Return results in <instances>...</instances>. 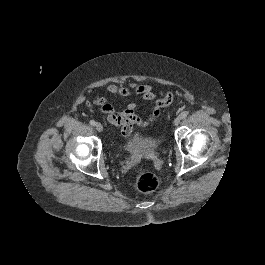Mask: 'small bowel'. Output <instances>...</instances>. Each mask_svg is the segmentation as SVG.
<instances>
[{
	"instance_id": "1",
	"label": "small bowel",
	"mask_w": 265,
	"mask_h": 265,
	"mask_svg": "<svg viewBox=\"0 0 265 265\" xmlns=\"http://www.w3.org/2000/svg\"><path fill=\"white\" fill-rule=\"evenodd\" d=\"M106 90L110 94L119 97L138 95L142 99L153 103V111L151 115L146 120H143L136 114V104L134 103H130L125 109L118 112L107 98L101 97L88 102L89 106L106 114L107 121L110 124L121 127V129L128 128L130 133L134 126H148L160 115L161 109L167 106L165 96L162 98H156L153 88L150 85L136 82H131L128 86L109 84L106 86Z\"/></svg>"
}]
</instances>
